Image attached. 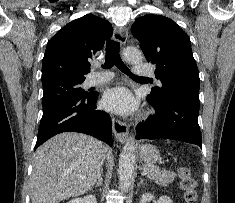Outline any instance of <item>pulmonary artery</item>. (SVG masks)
<instances>
[{
    "instance_id": "1",
    "label": "pulmonary artery",
    "mask_w": 235,
    "mask_h": 203,
    "mask_svg": "<svg viewBox=\"0 0 235 203\" xmlns=\"http://www.w3.org/2000/svg\"><path fill=\"white\" fill-rule=\"evenodd\" d=\"M134 72L137 75L149 76L152 75V70L146 64H137L134 68ZM113 78V74L110 72H94L86 79L87 86H95L106 83Z\"/></svg>"
}]
</instances>
